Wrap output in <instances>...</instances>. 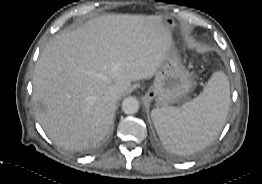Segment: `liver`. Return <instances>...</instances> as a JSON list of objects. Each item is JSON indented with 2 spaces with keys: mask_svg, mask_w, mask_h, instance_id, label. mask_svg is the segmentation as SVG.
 I'll use <instances>...</instances> for the list:
<instances>
[{
  "mask_svg": "<svg viewBox=\"0 0 262 184\" xmlns=\"http://www.w3.org/2000/svg\"><path fill=\"white\" fill-rule=\"evenodd\" d=\"M172 48L158 15L108 14L54 36L34 70L36 118L48 137L67 150L96 145L114 121L116 101L131 82L152 78Z\"/></svg>",
  "mask_w": 262,
  "mask_h": 184,
  "instance_id": "1",
  "label": "liver"
}]
</instances>
